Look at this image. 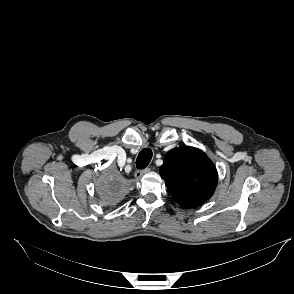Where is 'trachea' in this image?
<instances>
[{"label": "trachea", "instance_id": "trachea-1", "mask_svg": "<svg viewBox=\"0 0 294 294\" xmlns=\"http://www.w3.org/2000/svg\"><path fill=\"white\" fill-rule=\"evenodd\" d=\"M152 159V150L149 148L143 149L136 160V166L138 169H144Z\"/></svg>", "mask_w": 294, "mask_h": 294}]
</instances>
